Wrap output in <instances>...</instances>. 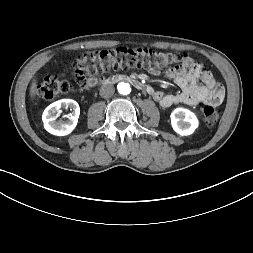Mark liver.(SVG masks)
Segmentation results:
<instances>
[{"instance_id": "1", "label": "liver", "mask_w": 253, "mask_h": 253, "mask_svg": "<svg viewBox=\"0 0 253 253\" xmlns=\"http://www.w3.org/2000/svg\"><path fill=\"white\" fill-rule=\"evenodd\" d=\"M36 87H37V83H36V80H34L32 85H31V90H30L31 97L35 96V93H36V90H37Z\"/></svg>"}]
</instances>
